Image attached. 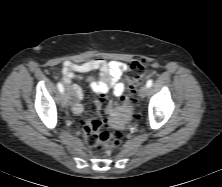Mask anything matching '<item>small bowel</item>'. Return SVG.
I'll list each match as a JSON object with an SVG mask.
<instances>
[{
	"instance_id": "obj_1",
	"label": "small bowel",
	"mask_w": 222,
	"mask_h": 187,
	"mask_svg": "<svg viewBox=\"0 0 222 187\" xmlns=\"http://www.w3.org/2000/svg\"><path fill=\"white\" fill-rule=\"evenodd\" d=\"M97 70L101 73L99 80H96L93 76L87 78L92 91L104 95L112 90L116 96H122L126 90L124 79L126 64L121 61H107L104 59H92L84 63L65 61L62 64L60 73L67 90L72 96V108L76 114H80L83 111L81 104L83 91L78 85L71 84V82L74 79L81 78L83 74Z\"/></svg>"
}]
</instances>
